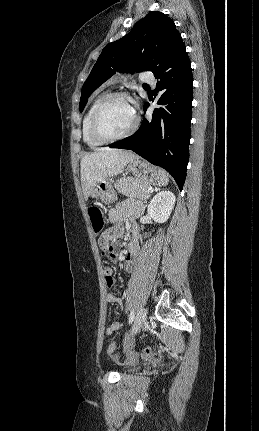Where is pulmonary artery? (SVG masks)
<instances>
[{
	"label": "pulmonary artery",
	"mask_w": 259,
	"mask_h": 431,
	"mask_svg": "<svg viewBox=\"0 0 259 431\" xmlns=\"http://www.w3.org/2000/svg\"><path fill=\"white\" fill-rule=\"evenodd\" d=\"M142 81L148 82V83H153L154 82V77L151 74H144L142 76Z\"/></svg>",
	"instance_id": "e3ab8cb5"
}]
</instances>
